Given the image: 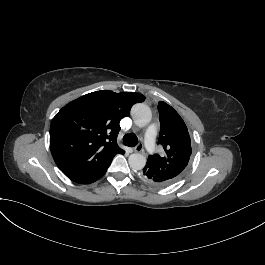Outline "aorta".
<instances>
[{"label":"aorta","mask_w":265,"mask_h":265,"mask_svg":"<svg viewBox=\"0 0 265 265\" xmlns=\"http://www.w3.org/2000/svg\"><path fill=\"white\" fill-rule=\"evenodd\" d=\"M131 114L135 124L138 126H145L152 118L150 108L141 103L133 106ZM128 162L133 170H141L145 167L147 160L143 154L134 153L129 156Z\"/></svg>","instance_id":"aorta-1"}]
</instances>
